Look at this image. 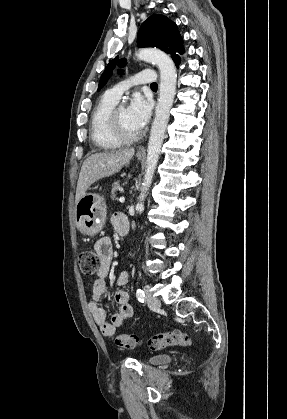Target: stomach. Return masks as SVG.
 Masks as SVG:
<instances>
[{"label":"stomach","instance_id":"0dacf381","mask_svg":"<svg viewBox=\"0 0 287 419\" xmlns=\"http://www.w3.org/2000/svg\"><path fill=\"white\" fill-rule=\"evenodd\" d=\"M141 160V156H137ZM104 198L95 193H86L75 206V223L80 232L87 236L98 234L106 221Z\"/></svg>","mask_w":287,"mask_h":419}]
</instances>
